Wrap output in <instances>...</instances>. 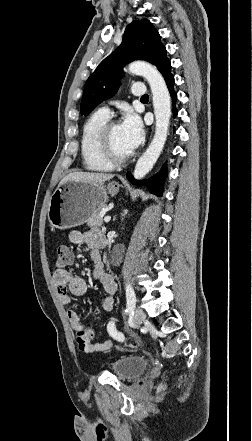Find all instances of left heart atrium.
Returning <instances> with one entry per match:
<instances>
[{
  "label": "left heart atrium",
  "mask_w": 252,
  "mask_h": 441,
  "mask_svg": "<svg viewBox=\"0 0 252 441\" xmlns=\"http://www.w3.org/2000/svg\"><path fill=\"white\" fill-rule=\"evenodd\" d=\"M124 145L128 153H132L142 142L144 137L140 118L133 112H128L120 125Z\"/></svg>",
  "instance_id": "1"
}]
</instances>
